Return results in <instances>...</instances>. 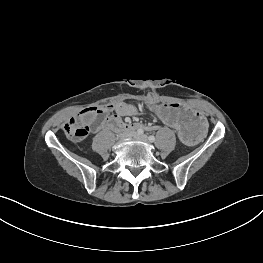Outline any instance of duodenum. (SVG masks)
I'll use <instances>...</instances> for the list:
<instances>
[{
  "instance_id": "duodenum-1",
  "label": "duodenum",
  "mask_w": 263,
  "mask_h": 263,
  "mask_svg": "<svg viewBox=\"0 0 263 263\" xmlns=\"http://www.w3.org/2000/svg\"><path fill=\"white\" fill-rule=\"evenodd\" d=\"M106 126L109 129H121L123 131H131V130H138V129H145V126L139 123H123L117 117H111L107 120Z\"/></svg>"
}]
</instances>
